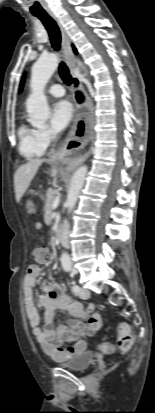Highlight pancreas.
I'll use <instances>...</instances> for the list:
<instances>
[{
  "label": "pancreas",
  "mask_w": 155,
  "mask_h": 413,
  "mask_svg": "<svg viewBox=\"0 0 155 413\" xmlns=\"http://www.w3.org/2000/svg\"><path fill=\"white\" fill-rule=\"evenodd\" d=\"M55 195H56V191L51 189V188L48 189L47 192H46L45 218H46L47 223L51 222V213H52V210H53Z\"/></svg>",
  "instance_id": "pancreas-1"
}]
</instances>
